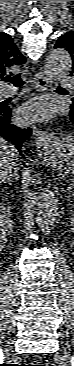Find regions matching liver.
I'll return each mask as SVG.
<instances>
[{"label":"liver","instance_id":"6515ba94","mask_svg":"<svg viewBox=\"0 0 74 366\" xmlns=\"http://www.w3.org/2000/svg\"><path fill=\"white\" fill-rule=\"evenodd\" d=\"M17 149L3 138L0 139V180L5 181L17 173Z\"/></svg>","mask_w":74,"mask_h":366}]
</instances>
